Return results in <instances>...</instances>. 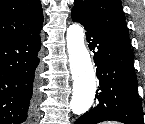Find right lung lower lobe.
Instances as JSON below:
<instances>
[{
	"label": "right lung lower lobe",
	"instance_id": "1",
	"mask_svg": "<svg viewBox=\"0 0 145 124\" xmlns=\"http://www.w3.org/2000/svg\"><path fill=\"white\" fill-rule=\"evenodd\" d=\"M40 50V31L0 40V124H22L34 114Z\"/></svg>",
	"mask_w": 145,
	"mask_h": 124
}]
</instances>
